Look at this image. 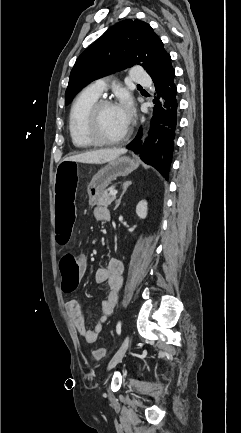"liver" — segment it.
I'll return each mask as SVG.
<instances>
[{"label": "liver", "mask_w": 241, "mask_h": 433, "mask_svg": "<svg viewBox=\"0 0 241 433\" xmlns=\"http://www.w3.org/2000/svg\"><path fill=\"white\" fill-rule=\"evenodd\" d=\"M126 149H101L96 151H89L82 154L66 157L64 161H76L87 164H103L113 161L119 155L126 153Z\"/></svg>", "instance_id": "obj_1"}]
</instances>
